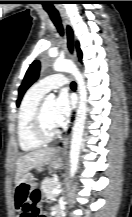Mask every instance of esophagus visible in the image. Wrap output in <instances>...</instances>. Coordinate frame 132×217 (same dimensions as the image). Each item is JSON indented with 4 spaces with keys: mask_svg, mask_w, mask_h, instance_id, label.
<instances>
[{
    "mask_svg": "<svg viewBox=\"0 0 132 217\" xmlns=\"http://www.w3.org/2000/svg\"><path fill=\"white\" fill-rule=\"evenodd\" d=\"M62 17H63L64 24H65V31H66L67 46H68L69 54L74 61H77L76 44H75L76 38H75L74 29L68 17L66 15H62ZM72 128H73V120L65 133V136H64V139L61 145L58 148V152L60 154L66 155L67 153V145H68L71 133H72Z\"/></svg>",
    "mask_w": 132,
    "mask_h": 217,
    "instance_id": "1",
    "label": "esophagus"
}]
</instances>
